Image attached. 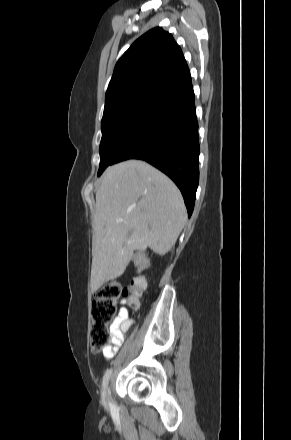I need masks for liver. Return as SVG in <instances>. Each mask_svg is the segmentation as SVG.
<instances>
[{"instance_id":"6515ba94","label":"liver","mask_w":291,"mask_h":440,"mask_svg":"<svg viewBox=\"0 0 291 440\" xmlns=\"http://www.w3.org/2000/svg\"><path fill=\"white\" fill-rule=\"evenodd\" d=\"M186 220L179 189L158 169L141 160L108 167L96 192L92 292L120 277L135 250L169 252Z\"/></svg>"}]
</instances>
